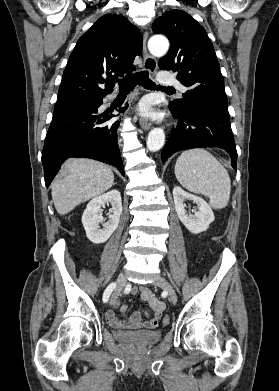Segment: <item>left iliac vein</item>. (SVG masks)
Masks as SVG:
<instances>
[{
  "label": "left iliac vein",
  "mask_w": 279,
  "mask_h": 391,
  "mask_svg": "<svg viewBox=\"0 0 279 391\" xmlns=\"http://www.w3.org/2000/svg\"><path fill=\"white\" fill-rule=\"evenodd\" d=\"M154 284L167 291L168 298L173 304L177 303V294L167 279L159 276L154 280Z\"/></svg>",
  "instance_id": "obj_1"
}]
</instances>
